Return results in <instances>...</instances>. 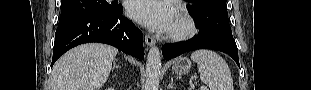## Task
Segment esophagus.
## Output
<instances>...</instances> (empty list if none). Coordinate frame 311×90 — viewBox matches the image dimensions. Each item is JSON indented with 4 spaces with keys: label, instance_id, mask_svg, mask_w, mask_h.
Listing matches in <instances>:
<instances>
[{
    "label": "esophagus",
    "instance_id": "esophagus-1",
    "mask_svg": "<svg viewBox=\"0 0 311 90\" xmlns=\"http://www.w3.org/2000/svg\"><path fill=\"white\" fill-rule=\"evenodd\" d=\"M145 42L148 46H153L156 43L155 39L150 35H145Z\"/></svg>",
    "mask_w": 311,
    "mask_h": 90
}]
</instances>
